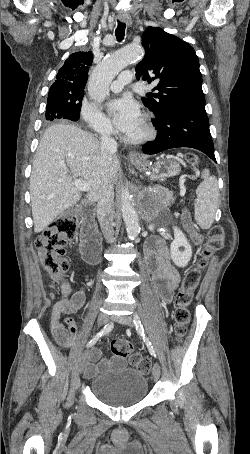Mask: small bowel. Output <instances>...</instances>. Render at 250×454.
Returning a JSON list of instances; mask_svg holds the SVG:
<instances>
[{
  "label": "small bowel",
  "instance_id": "obj_1",
  "mask_svg": "<svg viewBox=\"0 0 250 454\" xmlns=\"http://www.w3.org/2000/svg\"><path fill=\"white\" fill-rule=\"evenodd\" d=\"M181 220L193 243L199 244L202 237L193 228L186 211L182 213ZM146 253L147 266L152 275L156 293L162 301L169 303L180 279L179 271L171 261L170 249L161 240L151 239L147 243ZM61 292L65 299L57 302L52 309L51 332L59 345L71 347L77 341V327L72 318H63V316L73 314L84 306L86 291L84 288H80L72 293L70 286L65 284ZM110 364L111 360L101 358L100 349L94 348L88 355L84 374L86 377L92 378L99 372L107 370Z\"/></svg>",
  "mask_w": 250,
  "mask_h": 454
}]
</instances>
